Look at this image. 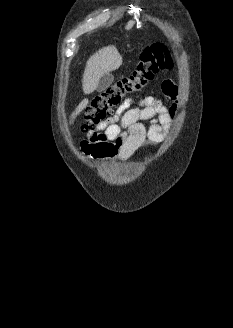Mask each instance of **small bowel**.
Here are the masks:
<instances>
[{
  "mask_svg": "<svg viewBox=\"0 0 233 328\" xmlns=\"http://www.w3.org/2000/svg\"><path fill=\"white\" fill-rule=\"evenodd\" d=\"M164 98L147 96L126 99L115 115L94 128L80 143L81 149L94 157L125 161L147 144L162 139V125L170 122L177 111L178 89L169 80L163 82ZM171 100L167 106L165 102ZM144 122H149L146 126Z\"/></svg>",
  "mask_w": 233,
  "mask_h": 328,
  "instance_id": "obj_1",
  "label": "small bowel"
}]
</instances>
